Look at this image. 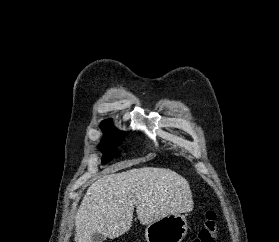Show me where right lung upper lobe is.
<instances>
[{"instance_id": "right-lung-upper-lobe-1", "label": "right lung upper lobe", "mask_w": 279, "mask_h": 242, "mask_svg": "<svg viewBox=\"0 0 279 242\" xmlns=\"http://www.w3.org/2000/svg\"><path fill=\"white\" fill-rule=\"evenodd\" d=\"M104 124H111V122L109 120H107V121L102 123V125H104Z\"/></svg>"}]
</instances>
